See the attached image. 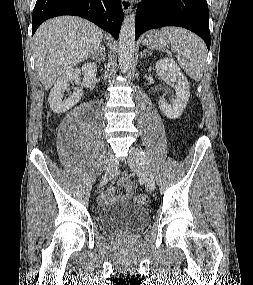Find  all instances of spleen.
Listing matches in <instances>:
<instances>
[{
  "label": "spleen",
  "mask_w": 253,
  "mask_h": 285,
  "mask_svg": "<svg viewBox=\"0 0 253 285\" xmlns=\"http://www.w3.org/2000/svg\"><path fill=\"white\" fill-rule=\"evenodd\" d=\"M161 32L167 36L173 52L184 71L195 81H200L206 64V46L194 33L179 27H165Z\"/></svg>",
  "instance_id": "obj_1"
}]
</instances>
